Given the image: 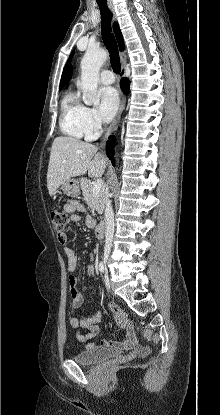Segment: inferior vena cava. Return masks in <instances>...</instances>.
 Segmentation results:
<instances>
[{
    "label": "inferior vena cava",
    "mask_w": 220,
    "mask_h": 415,
    "mask_svg": "<svg viewBox=\"0 0 220 415\" xmlns=\"http://www.w3.org/2000/svg\"><path fill=\"white\" fill-rule=\"evenodd\" d=\"M108 212L106 213V217L104 219L105 225V250H110L112 245V239L114 234V216L112 212V208L109 205L107 207Z\"/></svg>",
    "instance_id": "602c4592"
}]
</instances>
